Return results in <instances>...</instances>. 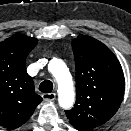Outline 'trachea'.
Masks as SVG:
<instances>
[{
	"label": "trachea",
	"instance_id": "3493384b",
	"mask_svg": "<svg viewBox=\"0 0 131 131\" xmlns=\"http://www.w3.org/2000/svg\"><path fill=\"white\" fill-rule=\"evenodd\" d=\"M39 90L43 93H50L53 90V83L50 80H45L40 84Z\"/></svg>",
	"mask_w": 131,
	"mask_h": 131
}]
</instances>
